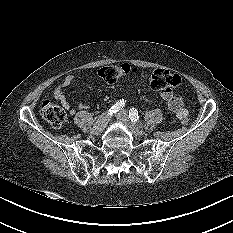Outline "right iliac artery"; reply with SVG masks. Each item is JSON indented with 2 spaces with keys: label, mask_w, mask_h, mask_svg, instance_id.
Listing matches in <instances>:
<instances>
[{
  "label": "right iliac artery",
  "mask_w": 233,
  "mask_h": 233,
  "mask_svg": "<svg viewBox=\"0 0 233 233\" xmlns=\"http://www.w3.org/2000/svg\"><path fill=\"white\" fill-rule=\"evenodd\" d=\"M125 100L124 99H120L118 102H116L109 110H108V114L112 115L117 113L118 111L122 110L123 107L125 106Z\"/></svg>",
  "instance_id": "obj_1"
}]
</instances>
